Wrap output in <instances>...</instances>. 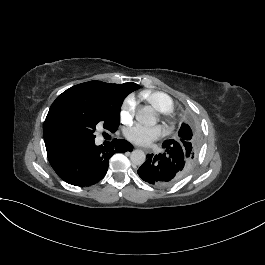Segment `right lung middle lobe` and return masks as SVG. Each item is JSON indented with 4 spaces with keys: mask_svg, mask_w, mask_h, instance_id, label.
<instances>
[{
    "mask_svg": "<svg viewBox=\"0 0 265 265\" xmlns=\"http://www.w3.org/2000/svg\"><path fill=\"white\" fill-rule=\"evenodd\" d=\"M132 90L122 84L90 81L63 92L51 105L44 122L46 146L56 148L94 140L99 124L114 131L120 123V108Z\"/></svg>",
    "mask_w": 265,
    "mask_h": 265,
    "instance_id": "dd1d6c3e",
    "label": "right lung middle lobe"
}]
</instances>
